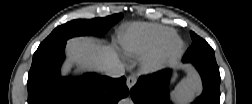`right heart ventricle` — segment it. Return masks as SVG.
I'll return each instance as SVG.
<instances>
[{
  "label": "right heart ventricle",
  "mask_w": 252,
  "mask_h": 104,
  "mask_svg": "<svg viewBox=\"0 0 252 104\" xmlns=\"http://www.w3.org/2000/svg\"><path fill=\"white\" fill-rule=\"evenodd\" d=\"M176 36L175 30L150 23H139L132 26L120 39L122 51L129 57L148 54Z\"/></svg>",
  "instance_id": "right-heart-ventricle-1"
}]
</instances>
